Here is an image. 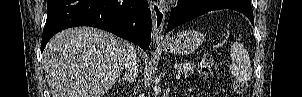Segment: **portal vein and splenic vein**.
<instances>
[{
    "mask_svg": "<svg viewBox=\"0 0 302 97\" xmlns=\"http://www.w3.org/2000/svg\"><path fill=\"white\" fill-rule=\"evenodd\" d=\"M177 77H178V78L180 77V73L177 74Z\"/></svg>",
    "mask_w": 302,
    "mask_h": 97,
    "instance_id": "portal-vein-and-splenic-vein-1",
    "label": "portal vein and splenic vein"
}]
</instances>
